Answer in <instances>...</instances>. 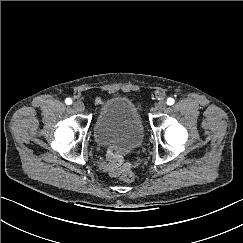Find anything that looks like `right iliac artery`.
Returning a JSON list of instances; mask_svg holds the SVG:
<instances>
[{"mask_svg":"<svg viewBox=\"0 0 243 243\" xmlns=\"http://www.w3.org/2000/svg\"><path fill=\"white\" fill-rule=\"evenodd\" d=\"M65 103H66L67 105L72 104V100H71V98H67V99L65 100Z\"/></svg>","mask_w":243,"mask_h":243,"instance_id":"1","label":"right iliac artery"}]
</instances>
